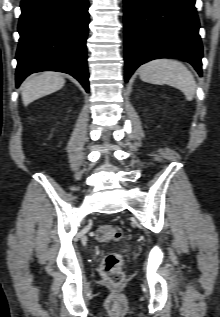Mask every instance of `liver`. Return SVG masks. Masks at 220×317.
I'll list each match as a JSON object with an SVG mask.
<instances>
[{
    "label": "liver",
    "instance_id": "obj_1",
    "mask_svg": "<svg viewBox=\"0 0 220 317\" xmlns=\"http://www.w3.org/2000/svg\"><path fill=\"white\" fill-rule=\"evenodd\" d=\"M65 79L60 73L42 72L26 80L21 87V95L24 106L61 89Z\"/></svg>",
    "mask_w": 220,
    "mask_h": 317
}]
</instances>
